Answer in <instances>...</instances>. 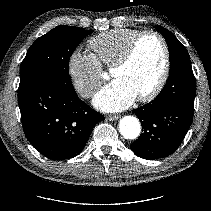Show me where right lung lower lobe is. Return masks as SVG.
Masks as SVG:
<instances>
[{"label":"right lung lower lobe","mask_w":211,"mask_h":211,"mask_svg":"<svg viewBox=\"0 0 211 211\" xmlns=\"http://www.w3.org/2000/svg\"><path fill=\"white\" fill-rule=\"evenodd\" d=\"M21 121L28 141L45 157L66 160L83 150L104 116L80 100L72 83L35 77L18 88Z\"/></svg>","instance_id":"obj_1"}]
</instances>
